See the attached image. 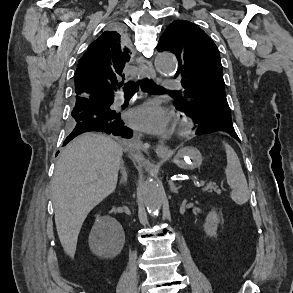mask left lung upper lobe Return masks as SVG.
Segmentation results:
<instances>
[{"label": "left lung upper lobe", "mask_w": 293, "mask_h": 293, "mask_svg": "<svg viewBox=\"0 0 293 293\" xmlns=\"http://www.w3.org/2000/svg\"><path fill=\"white\" fill-rule=\"evenodd\" d=\"M159 51H171L178 59L175 78L181 81L174 105L204 124H232L225 94L219 51L198 26L185 20L173 21L161 36Z\"/></svg>", "instance_id": "1"}]
</instances>
